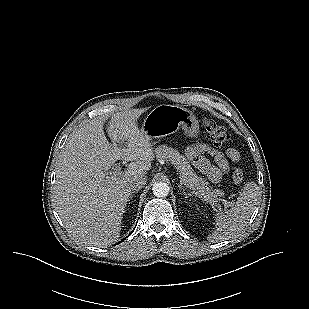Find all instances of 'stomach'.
<instances>
[{"label":"stomach","mask_w":309,"mask_h":309,"mask_svg":"<svg viewBox=\"0 0 309 309\" xmlns=\"http://www.w3.org/2000/svg\"><path fill=\"white\" fill-rule=\"evenodd\" d=\"M180 128L186 136L197 137L199 124L196 116L186 108L175 105H158L144 119L141 131L150 141L177 132Z\"/></svg>","instance_id":"stomach-1"}]
</instances>
